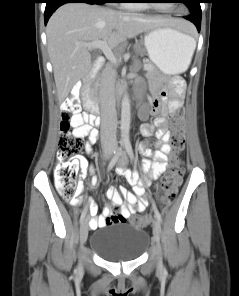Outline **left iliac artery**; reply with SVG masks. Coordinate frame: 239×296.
<instances>
[{"label":"left iliac artery","instance_id":"1","mask_svg":"<svg viewBox=\"0 0 239 296\" xmlns=\"http://www.w3.org/2000/svg\"><path fill=\"white\" fill-rule=\"evenodd\" d=\"M125 147H126V151H127L128 155H129V157H130L132 160H134V154H133V150H132L131 144H130V143H126ZM153 209H154L155 217L157 218V220H158L159 222H161V221H162V219H161V215H160V213H159V211H158V209H157L155 203H153ZM164 270H165V269H164Z\"/></svg>","mask_w":239,"mask_h":296}]
</instances>
